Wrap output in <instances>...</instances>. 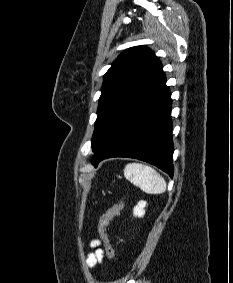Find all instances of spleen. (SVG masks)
Returning a JSON list of instances; mask_svg holds the SVG:
<instances>
[{"instance_id": "obj_1", "label": "spleen", "mask_w": 233, "mask_h": 283, "mask_svg": "<svg viewBox=\"0 0 233 283\" xmlns=\"http://www.w3.org/2000/svg\"><path fill=\"white\" fill-rule=\"evenodd\" d=\"M125 178L148 194H162L166 181L152 167L140 163H129L124 169Z\"/></svg>"}]
</instances>
